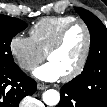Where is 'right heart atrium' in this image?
<instances>
[{
    "label": "right heart atrium",
    "instance_id": "right-heart-atrium-1",
    "mask_svg": "<svg viewBox=\"0 0 107 107\" xmlns=\"http://www.w3.org/2000/svg\"><path fill=\"white\" fill-rule=\"evenodd\" d=\"M9 49L19 67L25 71H32L45 58L32 38L23 34L11 38Z\"/></svg>",
    "mask_w": 107,
    "mask_h": 107
}]
</instances>
